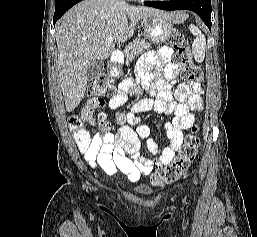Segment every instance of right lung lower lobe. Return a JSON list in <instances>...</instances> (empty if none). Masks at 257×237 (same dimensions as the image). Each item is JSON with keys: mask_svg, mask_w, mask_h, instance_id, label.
Wrapping results in <instances>:
<instances>
[{"mask_svg": "<svg viewBox=\"0 0 257 237\" xmlns=\"http://www.w3.org/2000/svg\"><path fill=\"white\" fill-rule=\"evenodd\" d=\"M82 0H63L55 4V13L53 17V24L55 25L56 21L62 17V15L70 9L73 5Z\"/></svg>", "mask_w": 257, "mask_h": 237, "instance_id": "right-lung-lower-lobe-1", "label": "right lung lower lobe"}]
</instances>
